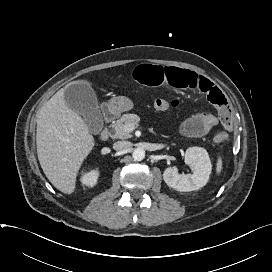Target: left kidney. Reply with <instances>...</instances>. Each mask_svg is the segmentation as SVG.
I'll use <instances>...</instances> for the list:
<instances>
[{"instance_id": "1", "label": "left kidney", "mask_w": 272, "mask_h": 272, "mask_svg": "<svg viewBox=\"0 0 272 272\" xmlns=\"http://www.w3.org/2000/svg\"><path fill=\"white\" fill-rule=\"evenodd\" d=\"M185 162L193 167V174H179L177 167H169L163 173L166 184L180 192H189L206 185L212 165L207 151L201 147H190L185 152Z\"/></svg>"}]
</instances>
